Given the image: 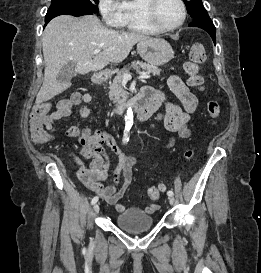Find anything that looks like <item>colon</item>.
Segmentation results:
<instances>
[{"label": "colon", "instance_id": "colon-1", "mask_svg": "<svg viewBox=\"0 0 261 273\" xmlns=\"http://www.w3.org/2000/svg\"><path fill=\"white\" fill-rule=\"evenodd\" d=\"M206 61V49L202 44H193L189 52V61L185 64V71L188 75V83L196 88L202 89L203 79L199 74L200 66ZM59 112L65 116L70 110L61 103ZM207 114L212 122H215L220 116V105L217 101L211 100L206 106ZM49 103L36 105L30 115V134L34 142L46 144L50 140L49 134L45 130V120L52 112ZM194 153L191 150L186 151L185 158L192 159ZM165 190L164 185L151 186L146 190V196L150 200H157Z\"/></svg>", "mask_w": 261, "mask_h": 273}]
</instances>
